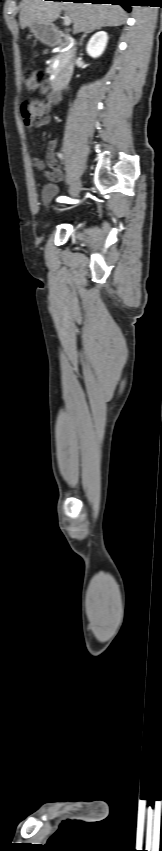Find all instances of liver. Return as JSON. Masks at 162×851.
<instances>
[{
	"label": "liver",
	"instance_id": "1",
	"mask_svg": "<svg viewBox=\"0 0 162 851\" xmlns=\"http://www.w3.org/2000/svg\"><path fill=\"white\" fill-rule=\"evenodd\" d=\"M20 26L24 29L30 22L52 24L65 9L75 33L101 27H117L126 22L127 14L118 5L44 0H23L20 5Z\"/></svg>",
	"mask_w": 162,
	"mask_h": 851
}]
</instances>
